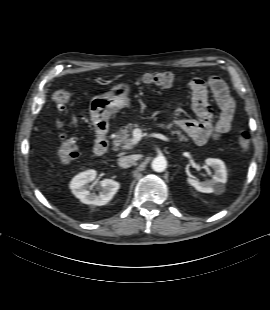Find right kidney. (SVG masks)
<instances>
[{
  "label": "right kidney",
  "mask_w": 270,
  "mask_h": 310,
  "mask_svg": "<svg viewBox=\"0 0 270 310\" xmlns=\"http://www.w3.org/2000/svg\"><path fill=\"white\" fill-rule=\"evenodd\" d=\"M96 178L95 170H88L76 175L70 182L72 193L84 204L102 206L107 204L118 191L120 184L112 179H104L100 182L101 191L90 193L89 183Z\"/></svg>",
  "instance_id": "1"
}]
</instances>
